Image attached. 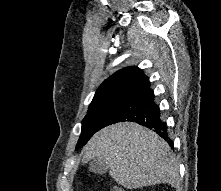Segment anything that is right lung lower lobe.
<instances>
[{
	"mask_svg": "<svg viewBox=\"0 0 221 191\" xmlns=\"http://www.w3.org/2000/svg\"><path fill=\"white\" fill-rule=\"evenodd\" d=\"M125 121L136 122L154 130L173 148L174 144L168 136L166 123L160 118L159 106L154 102V93L150 89L149 80L122 97L104 119L100 129Z\"/></svg>",
	"mask_w": 221,
	"mask_h": 191,
	"instance_id": "1",
	"label": "right lung lower lobe"
}]
</instances>
